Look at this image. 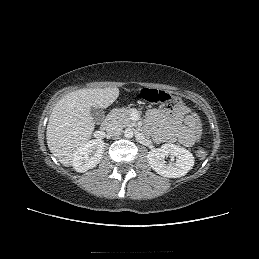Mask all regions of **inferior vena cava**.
Wrapping results in <instances>:
<instances>
[{"label":"inferior vena cava","mask_w":259,"mask_h":259,"mask_svg":"<svg viewBox=\"0 0 259 259\" xmlns=\"http://www.w3.org/2000/svg\"><path fill=\"white\" fill-rule=\"evenodd\" d=\"M122 126L117 123H111L107 125L106 132L111 136H118L122 133Z\"/></svg>","instance_id":"obj_1"}]
</instances>
